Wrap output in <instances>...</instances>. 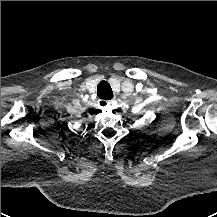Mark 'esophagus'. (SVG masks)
I'll return each instance as SVG.
<instances>
[{
  "label": "esophagus",
  "mask_w": 217,
  "mask_h": 217,
  "mask_svg": "<svg viewBox=\"0 0 217 217\" xmlns=\"http://www.w3.org/2000/svg\"><path fill=\"white\" fill-rule=\"evenodd\" d=\"M98 103L102 106H109L111 104V100H99Z\"/></svg>",
  "instance_id": "esophagus-1"
}]
</instances>
